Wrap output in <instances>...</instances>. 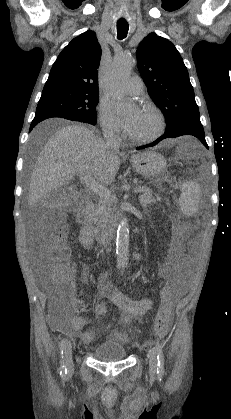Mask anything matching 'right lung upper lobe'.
<instances>
[{
	"label": "right lung upper lobe",
	"mask_w": 231,
	"mask_h": 419,
	"mask_svg": "<svg viewBox=\"0 0 231 419\" xmlns=\"http://www.w3.org/2000/svg\"><path fill=\"white\" fill-rule=\"evenodd\" d=\"M101 47L94 31H86L61 51L44 87L61 86L98 92Z\"/></svg>",
	"instance_id": "cb5924a9"
}]
</instances>
